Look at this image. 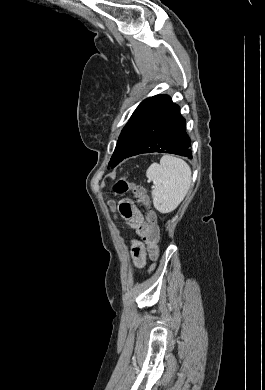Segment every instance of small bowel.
<instances>
[{
    "label": "small bowel",
    "mask_w": 265,
    "mask_h": 390,
    "mask_svg": "<svg viewBox=\"0 0 265 390\" xmlns=\"http://www.w3.org/2000/svg\"><path fill=\"white\" fill-rule=\"evenodd\" d=\"M118 210L125 221L136 230L139 237L147 242L151 234V226L145 222L141 211L129 199H123L119 202ZM132 257L136 267H143L146 264V249L142 241L132 242Z\"/></svg>",
    "instance_id": "small-bowel-1"
}]
</instances>
